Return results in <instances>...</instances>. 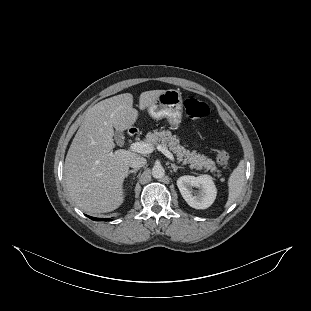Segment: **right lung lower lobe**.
I'll list each match as a JSON object with an SVG mask.
<instances>
[{"label":"right lung lower lobe","instance_id":"right-lung-lower-lobe-1","mask_svg":"<svg viewBox=\"0 0 311 311\" xmlns=\"http://www.w3.org/2000/svg\"><path fill=\"white\" fill-rule=\"evenodd\" d=\"M88 217L91 218L92 220H95V221H110V219L94 218V217H90V216H88Z\"/></svg>","mask_w":311,"mask_h":311}]
</instances>
